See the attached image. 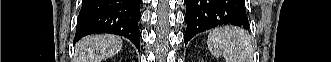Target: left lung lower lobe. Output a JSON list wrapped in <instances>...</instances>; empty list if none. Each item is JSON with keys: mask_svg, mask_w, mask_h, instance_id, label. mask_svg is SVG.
<instances>
[{"mask_svg": "<svg viewBox=\"0 0 331 62\" xmlns=\"http://www.w3.org/2000/svg\"><path fill=\"white\" fill-rule=\"evenodd\" d=\"M187 29L185 45L196 34L220 25H236L249 30L244 0H184Z\"/></svg>", "mask_w": 331, "mask_h": 62, "instance_id": "1", "label": "left lung lower lobe"}]
</instances>
